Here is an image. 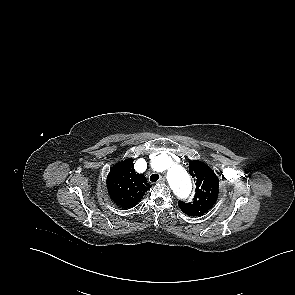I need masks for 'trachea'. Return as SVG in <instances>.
<instances>
[{
    "instance_id": "3493384b",
    "label": "trachea",
    "mask_w": 295,
    "mask_h": 295,
    "mask_svg": "<svg viewBox=\"0 0 295 295\" xmlns=\"http://www.w3.org/2000/svg\"><path fill=\"white\" fill-rule=\"evenodd\" d=\"M159 179V175L158 174H152L150 176V181L151 182H156Z\"/></svg>"
}]
</instances>
